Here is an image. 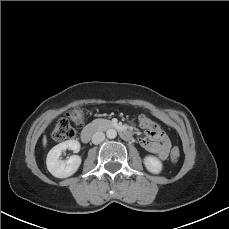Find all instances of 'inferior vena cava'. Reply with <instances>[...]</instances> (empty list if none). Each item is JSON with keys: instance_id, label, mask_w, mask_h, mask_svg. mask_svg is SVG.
Returning a JSON list of instances; mask_svg holds the SVG:
<instances>
[{"instance_id": "inferior-vena-cava-1", "label": "inferior vena cava", "mask_w": 229, "mask_h": 229, "mask_svg": "<svg viewBox=\"0 0 229 229\" xmlns=\"http://www.w3.org/2000/svg\"><path fill=\"white\" fill-rule=\"evenodd\" d=\"M105 140V134L103 132H96L92 136V143L93 144H100Z\"/></svg>"}]
</instances>
